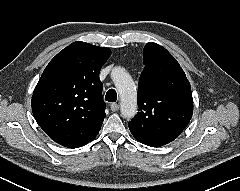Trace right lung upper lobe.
Wrapping results in <instances>:
<instances>
[{
    "mask_svg": "<svg viewBox=\"0 0 240 191\" xmlns=\"http://www.w3.org/2000/svg\"><path fill=\"white\" fill-rule=\"evenodd\" d=\"M111 51L74 42L47 65L32 96L33 115L56 143L78 148L98 135L105 114L99 72Z\"/></svg>",
    "mask_w": 240,
    "mask_h": 191,
    "instance_id": "cb5924a9",
    "label": "right lung upper lobe"
}]
</instances>
